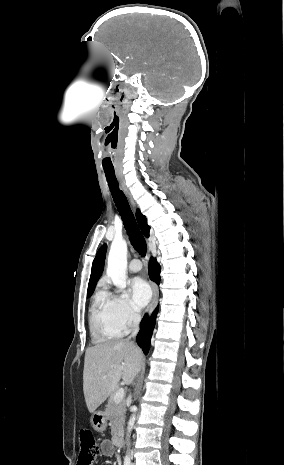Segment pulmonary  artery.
Here are the masks:
<instances>
[{
    "mask_svg": "<svg viewBox=\"0 0 284 465\" xmlns=\"http://www.w3.org/2000/svg\"><path fill=\"white\" fill-rule=\"evenodd\" d=\"M128 269L131 273L139 272L142 269V263L138 259L130 261Z\"/></svg>",
    "mask_w": 284,
    "mask_h": 465,
    "instance_id": "pulmonary-artery-1",
    "label": "pulmonary artery"
}]
</instances>
